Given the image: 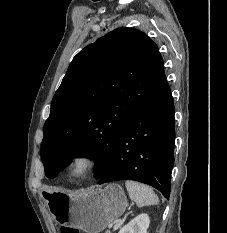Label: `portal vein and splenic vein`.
<instances>
[{"label": "portal vein and splenic vein", "mask_w": 227, "mask_h": 233, "mask_svg": "<svg viewBox=\"0 0 227 233\" xmlns=\"http://www.w3.org/2000/svg\"><path fill=\"white\" fill-rule=\"evenodd\" d=\"M127 216H128V214H125V216L123 218L119 219L116 222V224L114 225L113 229L117 230L118 228H120L124 224V222L126 221Z\"/></svg>", "instance_id": "18ae733b"}]
</instances>
